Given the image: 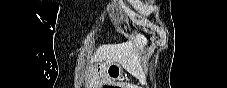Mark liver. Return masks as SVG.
<instances>
[{"label":"liver","instance_id":"1","mask_svg":"<svg viewBox=\"0 0 227 88\" xmlns=\"http://www.w3.org/2000/svg\"><path fill=\"white\" fill-rule=\"evenodd\" d=\"M146 43L147 39L143 35L136 34L126 43L100 47L94 58L103 60L107 64L120 63L126 69L135 71L141 65Z\"/></svg>","mask_w":227,"mask_h":88}]
</instances>
